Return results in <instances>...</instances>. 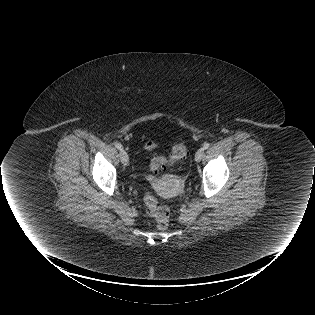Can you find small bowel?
<instances>
[{
	"label": "small bowel",
	"instance_id": "1",
	"mask_svg": "<svg viewBox=\"0 0 315 315\" xmlns=\"http://www.w3.org/2000/svg\"><path fill=\"white\" fill-rule=\"evenodd\" d=\"M158 146V143L153 140H147L144 144V149L147 151L153 150Z\"/></svg>",
	"mask_w": 315,
	"mask_h": 315
}]
</instances>
